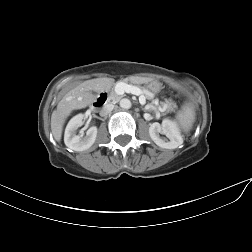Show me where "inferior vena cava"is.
I'll return each mask as SVG.
<instances>
[{
    "instance_id": "1",
    "label": "inferior vena cava",
    "mask_w": 252,
    "mask_h": 252,
    "mask_svg": "<svg viewBox=\"0 0 252 252\" xmlns=\"http://www.w3.org/2000/svg\"><path fill=\"white\" fill-rule=\"evenodd\" d=\"M114 109L113 104H106L105 106L102 107L100 110V115L101 116H106L108 115L112 110Z\"/></svg>"
}]
</instances>
